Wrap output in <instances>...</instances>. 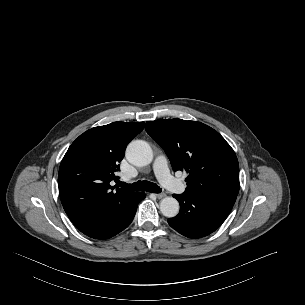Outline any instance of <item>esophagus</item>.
<instances>
[{"label": "esophagus", "mask_w": 305, "mask_h": 305, "mask_svg": "<svg viewBox=\"0 0 305 305\" xmlns=\"http://www.w3.org/2000/svg\"><path fill=\"white\" fill-rule=\"evenodd\" d=\"M155 196H156L158 199H161V198L165 197L166 194H165V193H156Z\"/></svg>", "instance_id": "obj_1"}]
</instances>
